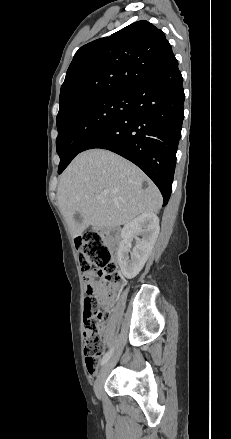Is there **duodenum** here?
I'll use <instances>...</instances> for the list:
<instances>
[{
    "instance_id": "duodenum-1",
    "label": "duodenum",
    "mask_w": 231,
    "mask_h": 439,
    "mask_svg": "<svg viewBox=\"0 0 231 439\" xmlns=\"http://www.w3.org/2000/svg\"><path fill=\"white\" fill-rule=\"evenodd\" d=\"M109 234L112 235V236H118L117 230L112 229V228L109 229Z\"/></svg>"
}]
</instances>
